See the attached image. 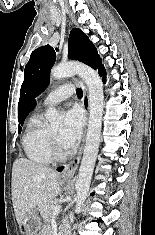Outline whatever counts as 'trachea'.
Wrapping results in <instances>:
<instances>
[{"label":"trachea","mask_w":155,"mask_h":235,"mask_svg":"<svg viewBox=\"0 0 155 235\" xmlns=\"http://www.w3.org/2000/svg\"><path fill=\"white\" fill-rule=\"evenodd\" d=\"M76 93L79 98H82V95H83L82 89L77 88Z\"/></svg>","instance_id":"obj_1"}]
</instances>
